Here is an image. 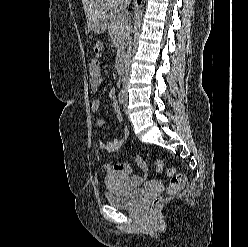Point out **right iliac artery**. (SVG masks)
Here are the masks:
<instances>
[{
	"label": "right iliac artery",
	"instance_id": "right-iliac-artery-1",
	"mask_svg": "<svg viewBox=\"0 0 248 247\" xmlns=\"http://www.w3.org/2000/svg\"><path fill=\"white\" fill-rule=\"evenodd\" d=\"M118 100H119L120 104H123V102H124V90L123 89H121L119 94H118Z\"/></svg>",
	"mask_w": 248,
	"mask_h": 247
}]
</instances>
